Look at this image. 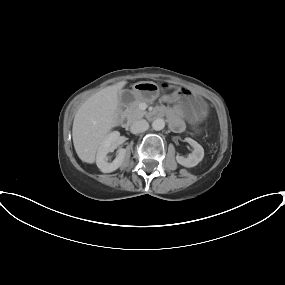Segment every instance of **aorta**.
Segmentation results:
<instances>
[{"instance_id":"1","label":"aorta","mask_w":285,"mask_h":285,"mask_svg":"<svg viewBox=\"0 0 285 285\" xmlns=\"http://www.w3.org/2000/svg\"><path fill=\"white\" fill-rule=\"evenodd\" d=\"M165 127V121L162 118H157L152 122V128L156 131H160Z\"/></svg>"}]
</instances>
